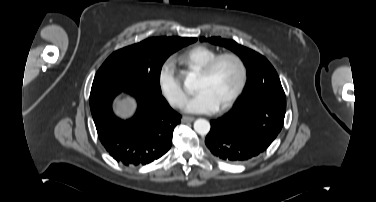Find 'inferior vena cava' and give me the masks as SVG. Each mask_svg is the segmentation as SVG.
Instances as JSON below:
<instances>
[{"instance_id": "obj_1", "label": "inferior vena cava", "mask_w": 376, "mask_h": 202, "mask_svg": "<svg viewBox=\"0 0 376 202\" xmlns=\"http://www.w3.org/2000/svg\"><path fill=\"white\" fill-rule=\"evenodd\" d=\"M183 101H184L183 99H180V100H179V104H182V103H183Z\"/></svg>"}]
</instances>
